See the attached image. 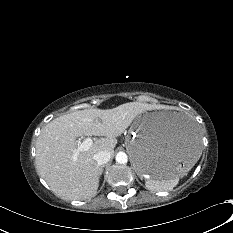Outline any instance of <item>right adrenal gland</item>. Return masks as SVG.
<instances>
[{
	"instance_id": "obj_1",
	"label": "right adrenal gland",
	"mask_w": 233,
	"mask_h": 233,
	"mask_svg": "<svg viewBox=\"0 0 233 233\" xmlns=\"http://www.w3.org/2000/svg\"><path fill=\"white\" fill-rule=\"evenodd\" d=\"M104 167H105V165H102V166H101V170H102V172H103V168H104Z\"/></svg>"
}]
</instances>
